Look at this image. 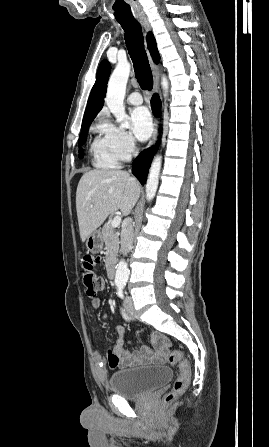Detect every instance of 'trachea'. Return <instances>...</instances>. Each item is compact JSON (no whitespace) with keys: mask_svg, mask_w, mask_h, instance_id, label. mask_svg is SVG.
I'll return each mask as SVG.
<instances>
[{"mask_svg":"<svg viewBox=\"0 0 269 447\" xmlns=\"http://www.w3.org/2000/svg\"><path fill=\"white\" fill-rule=\"evenodd\" d=\"M119 23L125 32V42L133 61L137 81L143 90H151L153 88V77L143 44L141 25L137 20Z\"/></svg>","mask_w":269,"mask_h":447,"instance_id":"3493384b","label":"trachea"}]
</instances>
